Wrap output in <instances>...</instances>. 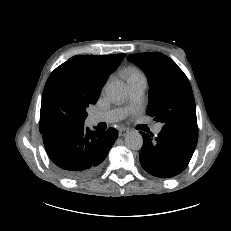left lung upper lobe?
<instances>
[{"label": "left lung upper lobe", "mask_w": 231, "mask_h": 231, "mask_svg": "<svg viewBox=\"0 0 231 231\" xmlns=\"http://www.w3.org/2000/svg\"><path fill=\"white\" fill-rule=\"evenodd\" d=\"M127 59L148 77L147 114L161 122L163 128L198 133L192 88L177 64L159 52L132 54Z\"/></svg>", "instance_id": "5c2ea615"}]
</instances>
